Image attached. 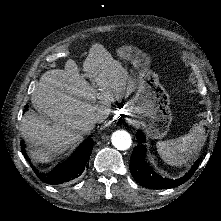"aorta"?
Here are the masks:
<instances>
[{
  "mask_svg": "<svg viewBox=\"0 0 221 221\" xmlns=\"http://www.w3.org/2000/svg\"><path fill=\"white\" fill-rule=\"evenodd\" d=\"M112 144L118 150H127L131 147L132 139L130 134L124 130H117L111 136Z\"/></svg>",
  "mask_w": 221,
  "mask_h": 221,
  "instance_id": "762f6f07",
  "label": "aorta"
}]
</instances>
